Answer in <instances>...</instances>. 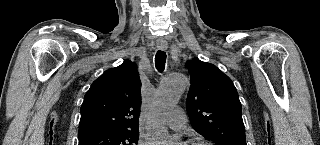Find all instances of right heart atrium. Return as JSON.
Returning a JSON list of instances; mask_svg holds the SVG:
<instances>
[{
	"instance_id": "1",
	"label": "right heart atrium",
	"mask_w": 320,
	"mask_h": 145,
	"mask_svg": "<svg viewBox=\"0 0 320 145\" xmlns=\"http://www.w3.org/2000/svg\"><path fill=\"white\" fill-rule=\"evenodd\" d=\"M138 144L139 145H151L150 141H148L146 138L144 137H141L139 140H138Z\"/></svg>"
}]
</instances>
